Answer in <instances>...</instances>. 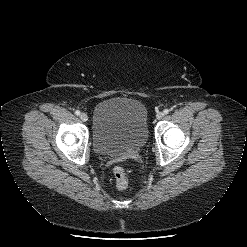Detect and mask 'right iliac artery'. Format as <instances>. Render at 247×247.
Returning <instances> with one entry per match:
<instances>
[{
    "label": "right iliac artery",
    "instance_id": "right-iliac-artery-1",
    "mask_svg": "<svg viewBox=\"0 0 247 247\" xmlns=\"http://www.w3.org/2000/svg\"><path fill=\"white\" fill-rule=\"evenodd\" d=\"M75 114H76L77 116H79V115H80V111H79V110H76V111H75Z\"/></svg>",
    "mask_w": 247,
    "mask_h": 247
}]
</instances>
